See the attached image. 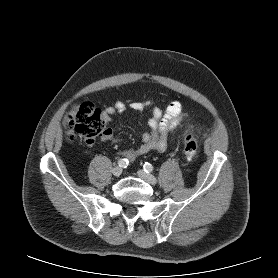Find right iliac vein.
I'll return each mask as SVG.
<instances>
[{
	"label": "right iliac vein",
	"mask_w": 278,
	"mask_h": 278,
	"mask_svg": "<svg viewBox=\"0 0 278 278\" xmlns=\"http://www.w3.org/2000/svg\"><path fill=\"white\" fill-rule=\"evenodd\" d=\"M122 173V168L119 166H116L112 169V174L116 177L120 176Z\"/></svg>",
	"instance_id": "obj_1"
}]
</instances>
